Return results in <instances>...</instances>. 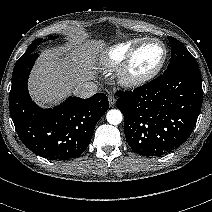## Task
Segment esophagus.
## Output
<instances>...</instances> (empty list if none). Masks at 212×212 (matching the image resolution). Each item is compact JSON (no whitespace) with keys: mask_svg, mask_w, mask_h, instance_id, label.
Wrapping results in <instances>:
<instances>
[{"mask_svg":"<svg viewBox=\"0 0 212 212\" xmlns=\"http://www.w3.org/2000/svg\"><path fill=\"white\" fill-rule=\"evenodd\" d=\"M108 101H109L110 106H114L116 103V98L113 95H109Z\"/></svg>","mask_w":212,"mask_h":212,"instance_id":"esophagus-1","label":"esophagus"}]
</instances>
